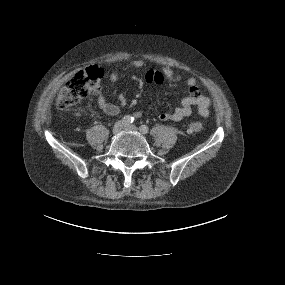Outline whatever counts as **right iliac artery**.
Here are the masks:
<instances>
[{
	"mask_svg": "<svg viewBox=\"0 0 285 285\" xmlns=\"http://www.w3.org/2000/svg\"><path fill=\"white\" fill-rule=\"evenodd\" d=\"M123 121L126 123V124H131L133 123L134 121V117L130 116V115H126L123 117Z\"/></svg>",
	"mask_w": 285,
	"mask_h": 285,
	"instance_id": "82829eb1",
	"label": "right iliac artery"
}]
</instances>
